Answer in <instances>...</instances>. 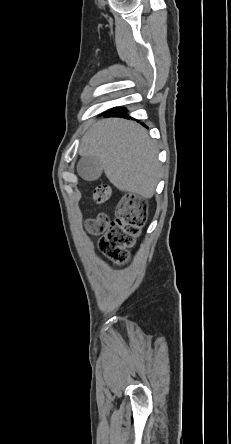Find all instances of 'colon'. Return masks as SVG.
Segmentation results:
<instances>
[{
  "instance_id": "5ec220e1",
  "label": "colon",
  "mask_w": 231,
  "mask_h": 444,
  "mask_svg": "<svg viewBox=\"0 0 231 444\" xmlns=\"http://www.w3.org/2000/svg\"><path fill=\"white\" fill-rule=\"evenodd\" d=\"M110 196L107 186L95 189L92 198L97 203L105 202ZM147 216L145 200L135 195H128L121 200L118 213L113 221H109L105 214L86 222V229L94 235H102L99 245L102 251L113 261L122 262L129 255V248L133 246L140 234Z\"/></svg>"
}]
</instances>
